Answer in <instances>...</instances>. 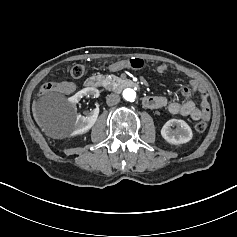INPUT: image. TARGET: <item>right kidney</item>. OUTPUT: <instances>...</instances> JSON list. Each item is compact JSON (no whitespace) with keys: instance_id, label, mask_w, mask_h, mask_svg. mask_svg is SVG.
<instances>
[{"instance_id":"1","label":"right kidney","mask_w":237,"mask_h":237,"mask_svg":"<svg viewBox=\"0 0 237 237\" xmlns=\"http://www.w3.org/2000/svg\"><path fill=\"white\" fill-rule=\"evenodd\" d=\"M98 90L95 88H85L78 93H76L74 96L69 98V102L73 105H76L79 103L80 99H82L85 96H92V97H98ZM99 115V110L94 109L90 113H88L86 116H81L80 114L76 115L75 123H74V130L71 132L72 136L80 135L87 133L96 123Z\"/></svg>"}]
</instances>
